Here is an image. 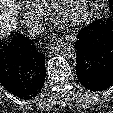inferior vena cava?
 <instances>
[{"instance_id":"obj_1","label":"inferior vena cava","mask_w":113,"mask_h":113,"mask_svg":"<svg viewBox=\"0 0 113 113\" xmlns=\"http://www.w3.org/2000/svg\"><path fill=\"white\" fill-rule=\"evenodd\" d=\"M28 32L30 35L32 36H37L40 35L41 33H43V24L41 21H34L30 24H28Z\"/></svg>"}]
</instances>
